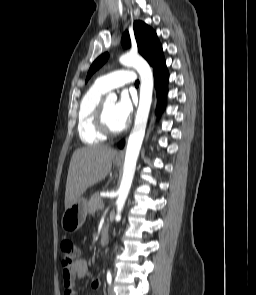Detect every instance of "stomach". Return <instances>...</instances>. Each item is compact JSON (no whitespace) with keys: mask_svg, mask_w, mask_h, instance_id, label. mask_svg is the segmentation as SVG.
<instances>
[{"mask_svg":"<svg viewBox=\"0 0 256 295\" xmlns=\"http://www.w3.org/2000/svg\"><path fill=\"white\" fill-rule=\"evenodd\" d=\"M115 164L120 160L116 158ZM88 202L85 198H78L73 204L65 209L61 218V226L66 232H75L82 227L87 216Z\"/></svg>","mask_w":256,"mask_h":295,"instance_id":"0dacf381","label":"stomach"}]
</instances>
